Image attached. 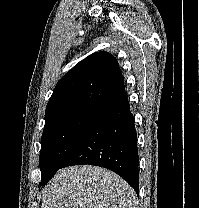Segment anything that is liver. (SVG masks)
I'll return each instance as SVG.
<instances>
[{"mask_svg":"<svg viewBox=\"0 0 199 208\" xmlns=\"http://www.w3.org/2000/svg\"><path fill=\"white\" fill-rule=\"evenodd\" d=\"M41 208H137L135 191L102 167L60 169L42 190Z\"/></svg>","mask_w":199,"mask_h":208,"instance_id":"obj_1","label":"liver"}]
</instances>
